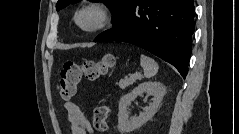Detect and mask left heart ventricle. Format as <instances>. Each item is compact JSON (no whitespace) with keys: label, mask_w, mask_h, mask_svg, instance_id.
Wrapping results in <instances>:
<instances>
[{"label":"left heart ventricle","mask_w":239,"mask_h":134,"mask_svg":"<svg viewBox=\"0 0 239 134\" xmlns=\"http://www.w3.org/2000/svg\"><path fill=\"white\" fill-rule=\"evenodd\" d=\"M81 20H82V23L84 25L89 26V25L94 23V21H95V14H93V13H86V14H84L82 16Z\"/></svg>","instance_id":"1"}]
</instances>
